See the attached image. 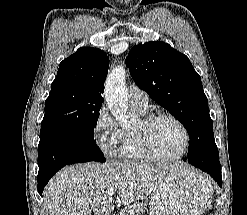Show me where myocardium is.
I'll use <instances>...</instances> for the list:
<instances>
[{
    "mask_svg": "<svg viewBox=\"0 0 247 215\" xmlns=\"http://www.w3.org/2000/svg\"><path fill=\"white\" fill-rule=\"evenodd\" d=\"M163 118H167L175 122L180 127V129L184 134V146L182 151L177 155L174 156L162 155L158 153L153 147L150 137V128L155 122ZM135 133L143 152L146 154V156L149 159L155 161H174L181 159L187 153L190 146V133L186 125L178 117H176L175 115L169 112H157L147 115L142 120L141 128L137 129Z\"/></svg>",
    "mask_w": 247,
    "mask_h": 215,
    "instance_id": "1",
    "label": "myocardium"
}]
</instances>
